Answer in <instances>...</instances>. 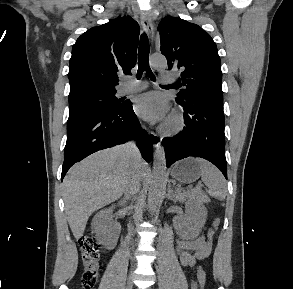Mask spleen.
I'll use <instances>...</instances> for the list:
<instances>
[{"mask_svg":"<svg viewBox=\"0 0 293 289\" xmlns=\"http://www.w3.org/2000/svg\"><path fill=\"white\" fill-rule=\"evenodd\" d=\"M196 160L201 169L202 181L208 187V194L211 197L224 200L227 195V184L221 172L202 158Z\"/></svg>","mask_w":293,"mask_h":289,"instance_id":"obj_1","label":"spleen"}]
</instances>
